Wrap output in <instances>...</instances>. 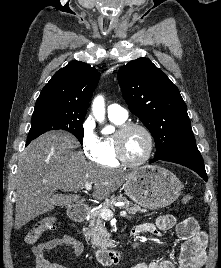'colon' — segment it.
I'll use <instances>...</instances> for the list:
<instances>
[{
  "label": "colon",
  "instance_id": "5ec220e1",
  "mask_svg": "<svg viewBox=\"0 0 221 268\" xmlns=\"http://www.w3.org/2000/svg\"><path fill=\"white\" fill-rule=\"evenodd\" d=\"M193 197L191 195H185L182 198L183 204H188L192 201ZM57 226V218L55 216H48L41 221H39L25 236V242L30 245L36 244L42 235L54 229Z\"/></svg>",
  "mask_w": 221,
  "mask_h": 268
}]
</instances>
